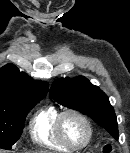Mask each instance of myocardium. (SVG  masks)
<instances>
[{
  "label": "myocardium",
  "instance_id": "myocardium-1",
  "mask_svg": "<svg viewBox=\"0 0 130 153\" xmlns=\"http://www.w3.org/2000/svg\"><path fill=\"white\" fill-rule=\"evenodd\" d=\"M68 115H74V116L78 117L85 124V126L87 128V138H86L85 142L81 145H74V144L70 143L63 133V129H62L63 120ZM55 130H56L57 136L60 139V141L66 147H68L70 150L84 149L85 147H87L89 145V143L92 139V136H93L92 124H91L90 120L88 119V117L83 112H81L77 109H73V108L65 109L58 114V116L56 118V122H55Z\"/></svg>",
  "mask_w": 130,
  "mask_h": 153
}]
</instances>
